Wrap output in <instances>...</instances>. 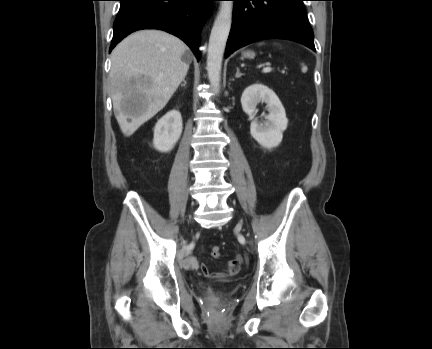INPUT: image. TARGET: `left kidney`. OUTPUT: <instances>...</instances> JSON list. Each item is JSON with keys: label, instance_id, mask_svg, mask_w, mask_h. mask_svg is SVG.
Wrapping results in <instances>:
<instances>
[{"label": "left kidney", "instance_id": "5707ae66", "mask_svg": "<svg viewBox=\"0 0 432 349\" xmlns=\"http://www.w3.org/2000/svg\"><path fill=\"white\" fill-rule=\"evenodd\" d=\"M260 102L267 104L269 114L265 116L266 120L262 124L253 120L250 125V133L261 146L271 149L281 143L288 119L278 96L267 86L255 83L242 93V109L252 119L255 116L256 106Z\"/></svg>", "mask_w": 432, "mask_h": 349}]
</instances>
